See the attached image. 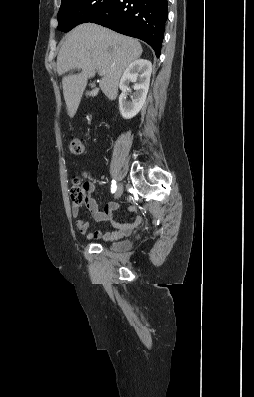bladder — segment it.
I'll list each match as a JSON object with an SVG mask.
<instances>
[{"mask_svg": "<svg viewBox=\"0 0 254 397\" xmlns=\"http://www.w3.org/2000/svg\"><path fill=\"white\" fill-rule=\"evenodd\" d=\"M124 247H125V242L123 241L115 242L111 245V248L113 249H122Z\"/></svg>", "mask_w": 254, "mask_h": 397, "instance_id": "obj_1", "label": "bladder"}]
</instances>
